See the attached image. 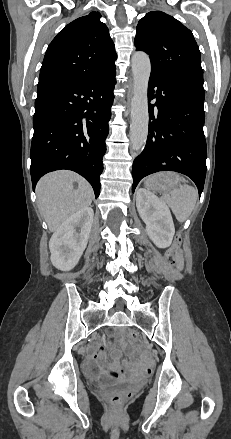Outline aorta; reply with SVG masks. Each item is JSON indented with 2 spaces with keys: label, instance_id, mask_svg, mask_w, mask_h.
I'll list each match as a JSON object with an SVG mask.
<instances>
[{
  "label": "aorta",
  "instance_id": "obj_1",
  "mask_svg": "<svg viewBox=\"0 0 231 439\" xmlns=\"http://www.w3.org/2000/svg\"><path fill=\"white\" fill-rule=\"evenodd\" d=\"M133 97L131 99L130 140L132 150L138 152L146 144L149 125L148 82L151 73L149 56L136 52L132 59Z\"/></svg>",
  "mask_w": 231,
  "mask_h": 439
}]
</instances>
